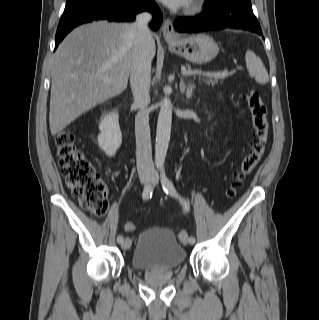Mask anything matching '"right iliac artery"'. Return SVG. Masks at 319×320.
<instances>
[{"label":"right iliac artery","mask_w":319,"mask_h":320,"mask_svg":"<svg viewBox=\"0 0 319 320\" xmlns=\"http://www.w3.org/2000/svg\"><path fill=\"white\" fill-rule=\"evenodd\" d=\"M152 193H153V186L151 183L147 184L143 190V193H142V198L143 200H148L149 198L152 197ZM124 240L123 236L122 235H119L117 237V242L118 243H122Z\"/></svg>","instance_id":"82829eb1"}]
</instances>
